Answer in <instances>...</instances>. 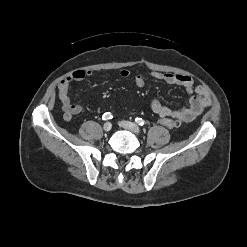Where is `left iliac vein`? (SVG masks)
Here are the masks:
<instances>
[{
	"label": "left iliac vein",
	"instance_id": "4c4485c4",
	"mask_svg": "<svg viewBox=\"0 0 247 247\" xmlns=\"http://www.w3.org/2000/svg\"><path fill=\"white\" fill-rule=\"evenodd\" d=\"M119 125L121 127H123L124 129H127L135 134H139L140 133V128L138 125H136L135 123H132L130 121H121L119 122Z\"/></svg>",
	"mask_w": 247,
	"mask_h": 247
}]
</instances>
